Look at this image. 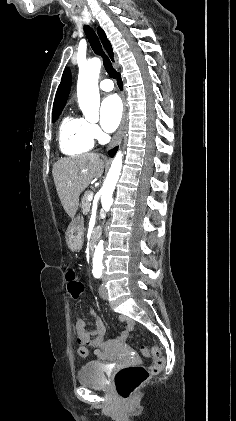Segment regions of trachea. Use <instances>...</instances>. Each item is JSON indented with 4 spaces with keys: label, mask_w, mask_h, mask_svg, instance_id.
Returning <instances> with one entry per match:
<instances>
[{
    "label": "trachea",
    "mask_w": 236,
    "mask_h": 421,
    "mask_svg": "<svg viewBox=\"0 0 236 421\" xmlns=\"http://www.w3.org/2000/svg\"><path fill=\"white\" fill-rule=\"evenodd\" d=\"M84 32H85V35H86V37L88 39V42H89L92 50L94 51V53L102 58L104 68L107 71L108 75L111 78H116L117 72H116L115 68H113V65L110 62V59L104 53L102 45L99 41V38L97 37L94 30L90 26L85 25L84 26Z\"/></svg>",
    "instance_id": "1"
}]
</instances>
